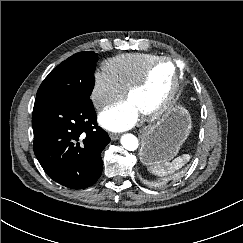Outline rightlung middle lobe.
Masks as SVG:
<instances>
[{
    "instance_id": "dd1d6c3e",
    "label": "right lung middle lobe",
    "mask_w": 243,
    "mask_h": 243,
    "mask_svg": "<svg viewBox=\"0 0 243 243\" xmlns=\"http://www.w3.org/2000/svg\"><path fill=\"white\" fill-rule=\"evenodd\" d=\"M96 61L97 54L93 51L72 55L44 79L36 98H52L70 104L91 101Z\"/></svg>"
}]
</instances>
